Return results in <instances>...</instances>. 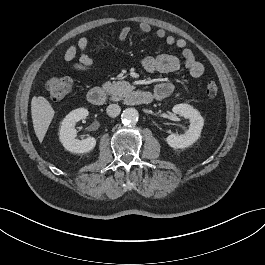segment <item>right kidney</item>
Wrapping results in <instances>:
<instances>
[{
  "instance_id": "ca27d5eb",
  "label": "right kidney",
  "mask_w": 265,
  "mask_h": 265,
  "mask_svg": "<svg viewBox=\"0 0 265 265\" xmlns=\"http://www.w3.org/2000/svg\"><path fill=\"white\" fill-rule=\"evenodd\" d=\"M89 112L85 108L71 111L61 123L59 129V140L64 148L72 153H87L94 149L96 139L88 137L83 140L76 139L75 125L81 119L87 118Z\"/></svg>"
}]
</instances>
